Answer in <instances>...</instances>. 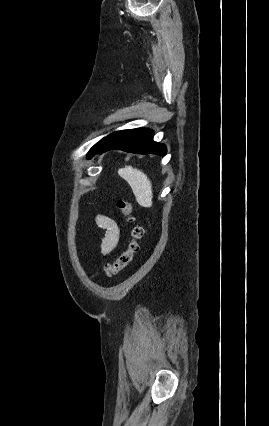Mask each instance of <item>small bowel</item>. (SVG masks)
<instances>
[{
  "label": "small bowel",
  "instance_id": "1",
  "mask_svg": "<svg viewBox=\"0 0 269 426\" xmlns=\"http://www.w3.org/2000/svg\"><path fill=\"white\" fill-rule=\"evenodd\" d=\"M95 221L98 227L105 231L101 241L100 253L102 256H107L118 244L121 233L120 227L114 218L103 214L97 215Z\"/></svg>",
  "mask_w": 269,
  "mask_h": 426
}]
</instances>
